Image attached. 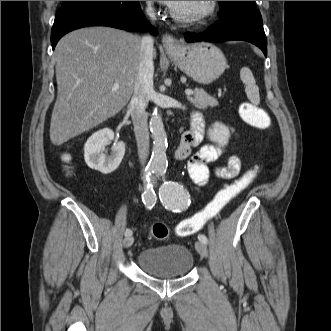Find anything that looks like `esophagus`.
I'll return each instance as SVG.
<instances>
[{
    "label": "esophagus",
    "instance_id": "esophagus-1",
    "mask_svg": "<svg viewBox=\"0 0 331 331\" xmlns=\"http://www.w3.org/2000/svg\"><path fill=\"white\" fill-rule=\"evenodd\" d=\"M162 43L165 50L169 53L175 52L180 47V42L170 34L163 35Z\"/></svg>",
    "mask_w": 331,
    "mask_h": 331
}]
</instances>
